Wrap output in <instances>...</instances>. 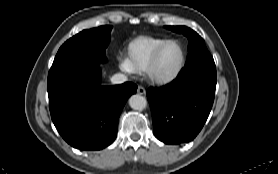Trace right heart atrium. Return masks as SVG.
<instances>
[{
  "mask_svg": "<svg viewBox=\"0 0 278 174\" xmlns=\"http://www.w3.org/2000/svg\"><path fill=\"white\" fill-rule=\"evenodd\" d=\"M119 64H120L121 69H123L124 71L129 72V73L134 72V69L127 57H121L119 59Z\"/></svg>",
  "mask_w": 278,
  "mask_h": 174,
  "instance_id": "right-heart-atrium-1",
  "label": "right heart atrium"
}]
</instances>
